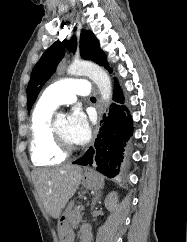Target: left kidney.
<instances>
[{
  "label": "left kidney",
  "instance_id": "1",
  "mask_svg": "<svg viewBox=\"0 0 187 242\" xmlns=\"http://www.w3.org/2000/svg\"><path fill=\"white\" fill-rule=\"evenodd\" d=\"M118 196L116 192H111L105 199V206L108 210H113L115 208Z\"/></svg>",
  "mask_w": 187,
  "mask_h": 242
}]
</instances>
